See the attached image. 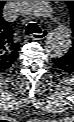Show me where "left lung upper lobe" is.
I'll list each match as a JSON object with an SVG mask.
<instances>
[{"label": "left lung upper lobe", "mask_w": 74, "mask_h": 122, "mask_svg": "<svg viewBox=\"0 0 74 122\" xmlns=\"http://www.w3.org/2000/svg\"><path fill=\"white\" fill-rule=\"evenodd\" d=\"M66 2L71 13V27H72V35L74 37V1H66ZM64 56L74 60V38L72 40V46L70 50Z\"/></svg>", "instance_id": "obj_1"}]
</instances>
